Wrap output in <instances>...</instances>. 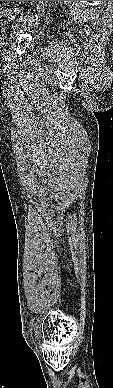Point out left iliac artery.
<instances>
[{
    "instance_id": "1",
    "label": "left iliac artery",
    "mask_w": 113,
    "mask_h": 388,
    "mask_svg": "<svg viewBox=\"0 0 113 388\" xmlns=\"http://www.w3.org/2000/svg\"><path fill=\"white\" fill-rule=\"evenodd\" d=\"M42 7H43V3L40 2V3L38 4V6H37V11H38L39 9H42ZM32 16H33V15H32ZM29 17H31V16H25V17L21 16V17L18 19V21H19V22H20V21H24V20H26V19L29 18Z\"/></svg>"
}]
</instances>
